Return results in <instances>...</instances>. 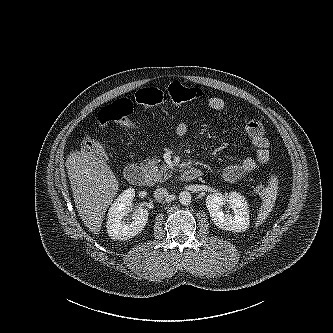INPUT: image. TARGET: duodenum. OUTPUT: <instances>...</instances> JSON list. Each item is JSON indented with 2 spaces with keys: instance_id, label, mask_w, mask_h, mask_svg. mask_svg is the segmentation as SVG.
<instances>
[{
  "instance_id": "obj_1",
  "label": "duodenum",
  "mask_w": 333,
  "mask_h": 333,
  "mask_svg": "<svg viewBox=\"0 0 333 333\" xmlns=\"http://www.w3.org/2000/svg\"><path fill=\"white\" fill-rule=\"evenodd\" d=\"M202 172L196 167H190L184 170L181 174V180L185 182L196 180L201 176ZM125 177L129 183L142 186L148 183V178L146 176L143 168L138 164H129L125 168Z\"/></svg>"
}]
</instances>
